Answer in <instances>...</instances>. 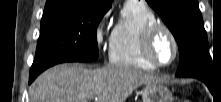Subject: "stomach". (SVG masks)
<instances>
[{"instance_id": "0dacf381", "label": "stomach", "mask_w": 221, "mask_h": 102, "mask_svg": "<svg viewBox=\"0 0 221 102\" xmlns=\"http://www.w3.org/2000/svg\"><path fill=\"white\" fill-rule=\"evenodd\" d=\"M143 102H172L170 90L160 82L146 84L142 92Z\"/></svg>"}]
</instances>
